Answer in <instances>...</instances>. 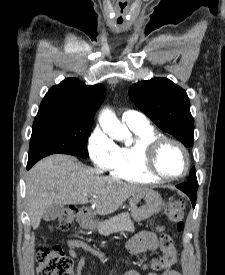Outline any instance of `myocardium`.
<instances>
[{"instance_id":"1","label":"myocardium","mask_w":225,"mask_h":275,"mask_svg":"<svg viewBox=\"0 0 225 275\" xmlns=\"http://www.w3.org/2000/svg\"><path fill=\"white\" fill-rule=\"evenodd\" d=\"M166 144L175 145L182 153L184 158V168L180 174L166 175L158 168V155ZM143 166L144 169L158 180L170 181L184 177L190 168V158L186 147L178 140L166 136H159L143 146Z\"/></svg>"}]
</instances>
